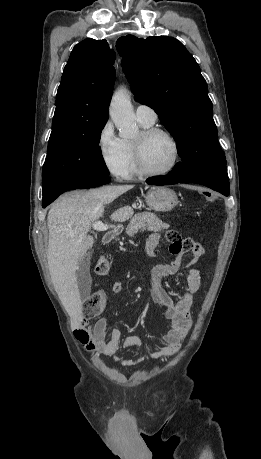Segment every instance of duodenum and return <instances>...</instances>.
Instances as JSON below:
<instances>
[{
	"label": "duodenum",
	"mask_w": 261,
	"mask_h": 459,
	"mask_svg": "<svg viewBox=\"0 0 261 459\" xmlns=\"http://www.w3.org/2000/svg\"><path fill=\"white\" fill-rule=\"evenodd\" d=\"M117 235H118L117 229L110 230L106 232L105 235L103 236V242L110 243L112 240L116 238Z\"/></svg>",
	"instance_id": "410a0bca"
}]
</instances>
